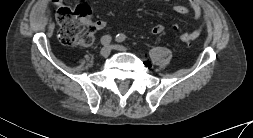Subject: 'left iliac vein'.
Segmentation results:
<instances>
[{"label":"left iliac vein","instance_id":"4c4485c4","mask_svg":"<svg viewBox=\"0 0 253 138\" xmlns=\"http://www.w3.org/2000/svg\"><path fill=\"white\" fill-rule=\"evenodd\" d=\"M112 48L118 51H126V47L122 46V45H118V44H114L112 45Z\"/></svg>","mask_w":253,"mask_h":138}]
</instances>
